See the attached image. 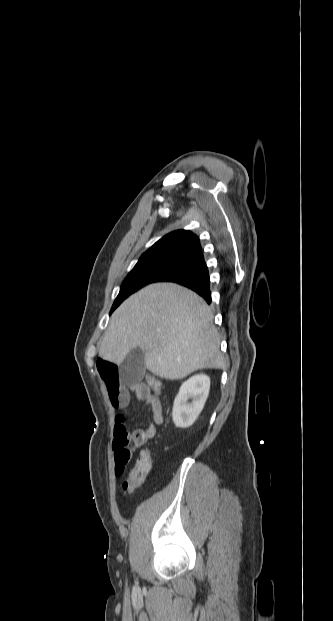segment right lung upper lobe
Returning <instances> with one entry per match:
<instances>
[{
    "label": "right lung upper lobe",
    "instance_id": "1",
    "mask_svg": "<svg viewBox=\"0 0 333 621\" xmlns=\"http://www.w3.org/2000/svg\"><path fill=\"white\" fill-rule=\"evenodd\" d=\"M202 249L198 237L188 230L171 232L142 254L138 262L163 258L187 259Z\"/></svg>",
    "mask_w": 333,
    "mask_h": 621
}]
</instances>
